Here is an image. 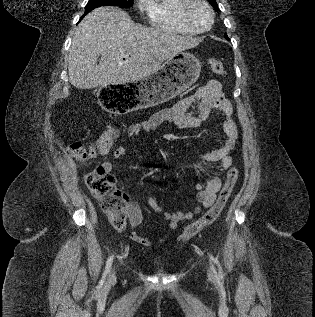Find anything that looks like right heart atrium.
Masks as SVG:
<instances>
[{
	"label": "right heart atrium",
	"instance_id": "1",
	"mask_svg": "<svg viewBox=\"0 0 315 317\" xmlns=\"http://www.w3.org/2000/svg\"><path fill=\"white\" fill-rule=\"evenodd\" d=\"M147 1H148V0H142V1L140 2V7H141V8H145Z\"/></svg>",
	"mask_w": 315,
	"mask_h": 317
}]
</instances>
